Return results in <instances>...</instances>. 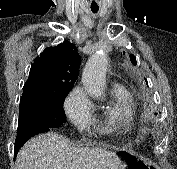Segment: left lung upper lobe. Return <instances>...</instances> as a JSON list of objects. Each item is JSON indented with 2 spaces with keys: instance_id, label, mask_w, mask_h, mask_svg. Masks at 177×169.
<instances>
[{
  "instance_id": "5c2ea615",
  "label": "left lung upper lobe",
  "mask_w": 177,
  "mask_h": 169,
  "mask_svg": "<svg viewBox=\"0 0 177 169\" xmlns=\"http://www.w3.org/2000/svg\"><path fill=\"white\" fill-rule=\"evenodd\" d=\"M130 60H131V62H132L133 65H136V60H135V57L133 55H131ZM145 82L148 85V82H147L146 79H145Z\"/></svg>"
}]
</instances>
